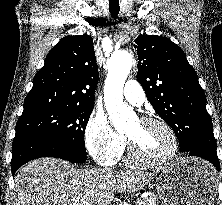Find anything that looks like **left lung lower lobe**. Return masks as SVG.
<instances>
[{
  "instance_id": "obj_1",
  "label": "left lung lower lobe",
  "mask_w": 222,
  "mask_h": 205,
  "mask_svg": "<svg viewBox=\"0 0 222 205\" xmlns=\"http://www.w3.org/2000/svg\"><path fill=\"white\" fill-rule=\"evenodd\" d=\"M185 153L191 156H196L207 160L208 162L213 164L215 168L219 171V160L216 152L205 151L202 149H193Z\"/></svg>"
}]
</instances>
